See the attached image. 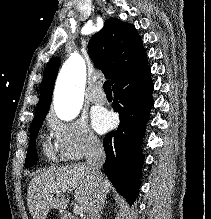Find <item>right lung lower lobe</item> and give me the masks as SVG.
Masks as SVG:
<instances>
[{
  "label": "right lung lower lobe",
  "mask_w": 211,
  "mask_h": 219,
  "mask_svg": "<svg viewBox=\"0 0 211 219\" xmlns=\"http://www.w3.org/2000/svg\"><path fill=\"white\" fill-rule=\"evenodd\" d=\"M115 112L120 125L106 134L104 170L118 192L132 205L140 186L144 156L141 151L145 126L153 106V83L147 59L136 69L119 77L113 84Z\"/></svg>",
  "instance_id": "obj_1"
}]
</instances>
